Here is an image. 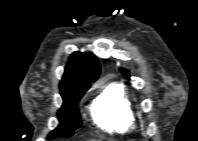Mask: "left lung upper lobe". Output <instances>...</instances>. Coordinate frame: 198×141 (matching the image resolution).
I'll use <instances>...</instances> for the list:
<instances>
[{"instance_id":"obj_1","label":"left lung upper lobe","mask_w":198,"mask_h":141,"mask_svg":"<svg viewBox=\"0 0 198 141\" xmlns=\"http://www.w3.org/2000/svg\"><path fill=\"white\" fill-rule=\"evenodd\" d=\"M121 72L123 73V75H124L125 77L129 78V73H128L127 70L121 69Z\"/></svg>"}]
</instances>
